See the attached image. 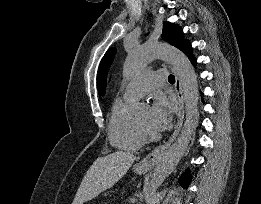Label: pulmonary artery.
Returning a JSON list of instances; mask_svg holds the SVG:
<instances>
[{
  "label": "pulmonary artery",
  "instance_id": "e3ab8cb5",
  "mask_svg": "<svg viewBox=\"0 0 261 204\" xmlns=\"http://www.w3.org/2000/svg\"><path fill=\"white\" fill-rule=\"evenodd\" d=\"M165 80L166 71L164 69L144 71L126 86L123 97L130 100H136Z\"/></svg>",
  "mask_w": 261,
  "mask_h": 204
}]
</instances>
